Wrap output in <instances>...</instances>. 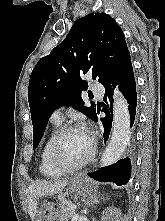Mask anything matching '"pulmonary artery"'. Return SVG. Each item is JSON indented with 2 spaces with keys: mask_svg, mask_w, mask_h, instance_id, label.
<instances>
[{
  "mask_svg": "<svg viewBox=\"0 0 165 221\" xmlns=\"http://www.w3.org/2000/svg\"><path fill=\"white\" fill-rule=\"evenodd\" d=\"M93 91L99 96L101 97L103 95V88L100 86H93L92 87ZM51 120L53 122H62L63 120V108H58L56 109L52 115H51Z\"/></svg>",
  "mask_w": 165,
  "mask_h": 221,
  "instance_id": "pulmonary-artery-1",
  "label": "pulmonary artery"
}]
</instances>
